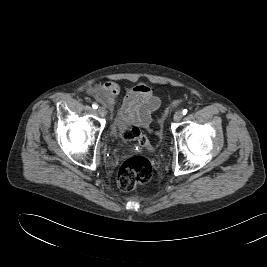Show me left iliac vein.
Returning <instances> with one entry per match:
<instances>
[{
    "label": "left iliac vein",
    "instance_id": "1",
    "mask_svg": "<svg viewBox=\"0 0 267 267\" xmlns=\"http://www.w3.org/2000/svg\"><path fill=\"white\" fill-rule=\"evenodd\" d=\"M183 117V112L182 111H177L175 114H174V121L178 122L182 119Z\"/></svg>",
    "mask_w": 267,
    "mask_h": 267
}]
</instances>
